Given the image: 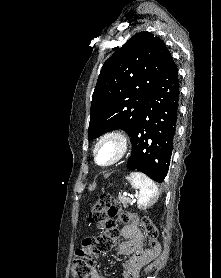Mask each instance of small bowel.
<instances>
[{
	"instance_id": "small-bowel-1",
	"label": "small bowel",
	"mask_w": 221,
	"mask_h": 278,
	"mask_svg": "<svg viewBox=\"0 0 221 278\" xmlns=\"http://www.w3.org/2000/svg\"><path fill=\"white\" fill-rule=\"evenodd\" d=\"M122 242L116 249V253L128 256L122 263V278H139L141 268L150 262L156 254L143 249L144 236L139 227L138 218L131 216V221L121 226ZM90 278H105L101 276L97 268H93Z\"/></svg>"
}]
</instances>
